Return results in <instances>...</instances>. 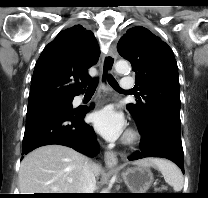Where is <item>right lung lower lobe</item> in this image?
I'll return each mask as SVG.
<instances>
[{"label":"right lung lower lobe","instance_id":"98d812e1","mask_svg":"<svg viewBox=\"0 0 208 198\" xmlns=\"http://www.w3.org/2000/svg\"><path fill=\"white\" fill-rule=\"evenodd\" d=\"M87 112L88 108L64 106L28 110L22 155L49 144L68 146L88 156L97 155L99 150L94 131L83 121Z\"/></svg>","mask_w":208,"mask_h":198}]
</instances>
